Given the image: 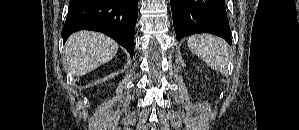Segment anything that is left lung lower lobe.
<instances>
[{
  "label": "left lung lower lobe",
  "instance_id": "1",
  "mask_svg": "<svg viewBox=\"0 0 299 130\" xmlns=\"http://www.w3.org/2000/svg\"><path fill=\"white\" fill-rule=\"evenodd\" d=\"M177 40L196 33L217 35L231 44L224 0H170Z\"/></svg>",
  "mask_w": 299,
  "mask_h": 130
}]
</instances>
